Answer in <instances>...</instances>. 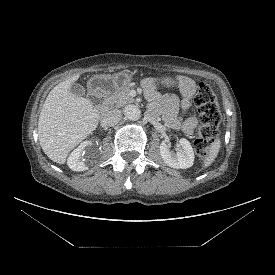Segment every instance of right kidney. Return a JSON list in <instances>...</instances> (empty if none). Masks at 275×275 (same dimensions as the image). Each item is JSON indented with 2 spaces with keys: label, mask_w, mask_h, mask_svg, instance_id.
<instances>
[{
  "label": "right kidney",
  "mask_w": 275,
  "mask_h": 275,
  "mask_svg": "<svg viewBox=\"0 0 275 275\" xmlns=\"http://www.w3.org/2000/svg\"><path fill=\"white\" fill-rule=\"evenodd\" d=\"M91 145L92 143L90 141H84L71 152L67 160V165L71 170L80 172L88 169L87 165L84 163L82 155L84 150Z\"/></svg>",
  "instance_id": "1"
}]
</instances>
